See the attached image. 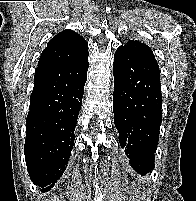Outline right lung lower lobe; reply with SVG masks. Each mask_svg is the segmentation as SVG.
Listing matches in <instances>:
<instances>
[{
	"mask_svg": "<svg viewBox=\"0 0 196 201\" xmlns=\"http://www.w3.org/2000/svg\"><path fill=\"white\" fill-rule=\"evenodd\" d=\"M87 71L88 60L36 69L24 154L30 178L43 192L54 187L67 167Z\"/></svg>",
	"mask_w": 196,
	"mask_h": 201,
	"instance_id": "1",
	"label": "right lung lower lobe"
}]
</instances>
